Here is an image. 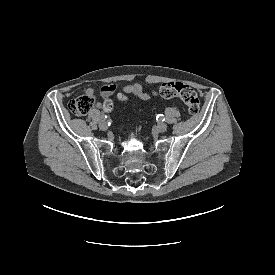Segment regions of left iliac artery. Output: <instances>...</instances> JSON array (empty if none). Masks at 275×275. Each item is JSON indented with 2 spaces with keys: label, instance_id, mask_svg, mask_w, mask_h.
<instances>
[{
  "label": "left iliac artery",
  "instance_id": "1",
  "mask_svg": "<svg viewBox=\"0 0 275 275\" xmlns=\"http://www.w3.org/2000/svg\"><path fill=\"white\" fill-rule=\"evenodd\" d=\"M158 118H159L161 121H164V120H165V117H164L163 114H159V115H158Z\"/></svg>",
  "mask_w": 275,
  "mask_h": 275
}]
</instances>
